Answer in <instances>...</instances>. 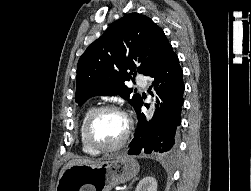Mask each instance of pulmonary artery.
<instances>
[{"label": "pulmonary artery", "mask_w": 251, "mask_h": 191, "mask_svg": "<svg viewBox=\"0 0 251 191\" xmlns=\"http://www.w3.org/2000/svg\"><path fill=\"white\" fill-rule=\"evenodd\" d=\"M135 81L138 82V86H146L147 82L145 81L144 78V73H135Z\"/></svg>", "instance_id": "obj_1"}]
</instances>
